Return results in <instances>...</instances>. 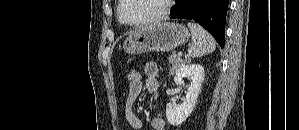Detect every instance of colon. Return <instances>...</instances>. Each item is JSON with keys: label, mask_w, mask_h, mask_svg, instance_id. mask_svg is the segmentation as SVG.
Returning <instances> with one entry per match:
<instances>
[{"label": "colon", "mask_w": 299, "mask_h": 130, "mask_svg": "<svg viewBox=\"0 0 299 130\" xmlns=\"http://www.w3.org/2000/svg\"><path fill=\"white\" fill-rule=\"evenodd\" d=\"M129 85H136L142 81L141 73L138 70L131 69L127 73Z\"/></svg>", "instance_id": "colon-1"}]
</instances>
